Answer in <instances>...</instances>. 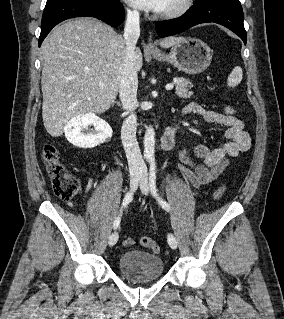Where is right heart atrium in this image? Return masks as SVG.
Here are the masks:
<instances>
[{"label":"right heart atrium","instance_id":"right-heart-atrium-1","mask_svg":"<svg viewBox=\"0 0 284 319\" xmlns=\"http://www.w3.org/2000/svg\"><path fill=\"white\" fill-rule=\"evenodd\" d=\"M127 14L130 18H136L138 16V12L133 8H127Z\"/></svg>","mask_w":284,"mask_h":319}]
</instances>
